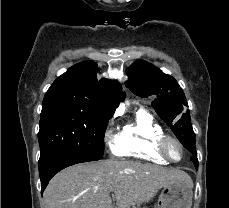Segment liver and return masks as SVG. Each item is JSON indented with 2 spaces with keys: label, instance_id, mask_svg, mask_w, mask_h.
Listing matches in <instances>:
<instances>
[{
  "label": "liver",
  "instance_id": "6515ba94",
  "mask_svg": "<svg viewBox=\"0 0 229 208\" xmlns=\"http://www.w3.org/2000/svg\"><path fill=\"white\" fill-rule=\"evenodd\" d=\"M174 182L193 186L190 176L177 168L101 160L62 170L43 198L48 208H112L109 194L114 192L117 208H131L150 202L158 190Z\"/></svg>",
  "mask_w": 229,
  "mask_h": 208
}]
</instances>
